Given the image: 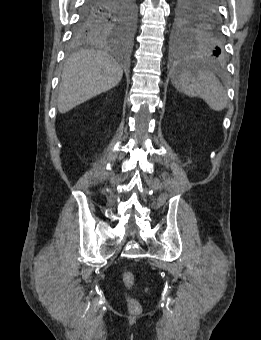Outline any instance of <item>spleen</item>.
I'll return each instance as SVG.
<instances>
[{"instance_id":"obj_1","label":"spleen","mask_w":261,"mask_h":340,"mask_svg":"<svg viewBox=\"0 0 261 340\" xmlns=\"http://www.w3.org/2000/svg\"><path fill=\"white\" fill-rule=\"evenodd\" d=\"M173 85L190 97H200L214 111L227 107L228 96L218 78L194 61L185 60L172 77Z\"/></svg>"}]
</instances>
